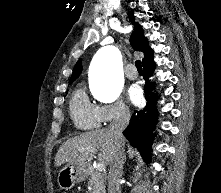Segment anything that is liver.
<instances>
[{"label": "liver", "instance_id": "obj_1", "mask_svg": "<svg viewBox=\"0 0 221 193\" xmlns=\"http://www.w3.org/2000/svg\"><path fill=\"white\" fill-rule=\"evenodd\" d=\"M122 143L125 145V139ZM87 148L99 150V160L104 164H110L116 152L114 134L109 128L86 132L80 136L68 139L64 142L55 157V166L59 167L64 163L85 166L90 157ZM79 149H84L80 151Z\"/></svg>", "mask_w": 221, "mask_h": 193}]
</instances>
